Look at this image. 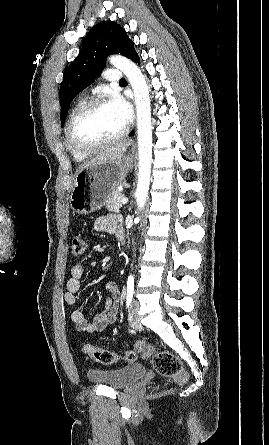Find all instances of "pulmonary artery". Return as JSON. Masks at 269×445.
Masks as SVG:
<instances>
[{
    "mask_svg": "<svg viewBox=\"0 0 269 445\" xmlns=\"http://www.w3.org/2000/svg\"><path fill=\"white\" fill-rule=\"evenodd\" d=\"M105 78L110 82H119L122 78V73L118 69H107Z\"/></svg>",
    "mask_w": 269,
    "mask_h": 445,
    "instance_id": "pulmonary-artery-1",
    "label": "pulmonary artery"
}]
</instances>
